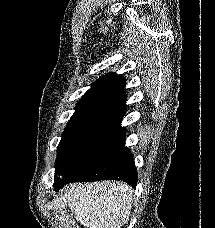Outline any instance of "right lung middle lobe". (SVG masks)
I'll list each match as a JSON object with an SVG mask.
<instances>
[{"instance_id":"obj_1","label":"right lung middle lobe","mask_w":215,"mask_h":228,"mask_svg":"<svg viewBox=\"0 0 215 228\" xmlns=\"http://www.w3.org/2000/svg\"><path fill=\"white\" fill-rule=\"evenodd\" d=\"M124 132L125 128H122L120 123L104 121L66 129L58 145L54 185Z\"/></svg>"}]
</instances>
